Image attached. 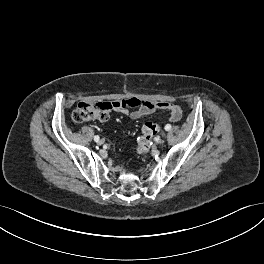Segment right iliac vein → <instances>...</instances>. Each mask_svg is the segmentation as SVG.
Here are the masks:
<instances>
[{
    "label": "right iliac vein",
    "mask_w": 264,
    "mask_h": 264,
    "mask_svg": "<svg viewBox=\"0 0 264 264\" xmlns=\"http://www.w3.org/2000/svg\"><path fill=\"white\" fill-rule=\"evenodd\" d=\"M97 143H98L99 145H102V144L104 143V140H103V139H100V140L97 141Z\"/></svg>",
    "instance_id": "obj_1"
}]
</instances>
